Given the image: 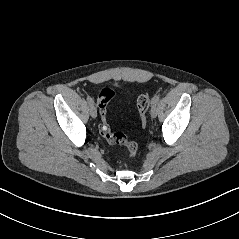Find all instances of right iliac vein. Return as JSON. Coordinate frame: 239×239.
<instances>
[{"mask_svg": "<svg viewBox=\"0 0 239 239\" xmlns=\"http://www.w3.org/2000/svg\"><path fill=\"white\" fill-rule=\"evenodd\" d=\"M89 111H90V115L92 118H96L97 117V109L96 107L93 105H89Z\"/></svg>", "mask_w": 239, "mask_h": 239, "instance_id": "63e3f726", "label": "right iliac vein"}]
</instances>
